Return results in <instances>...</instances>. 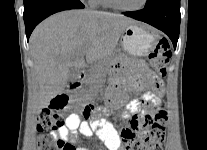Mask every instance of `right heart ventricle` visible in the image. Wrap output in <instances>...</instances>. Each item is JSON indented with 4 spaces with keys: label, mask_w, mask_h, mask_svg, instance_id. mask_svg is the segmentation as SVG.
Instances as JSON below:
<instances>
[{
    "label": "right heart ventricle",
    "mask_w": 207,
    "mask_h": 150,
    "mask_svg": "<svg viewBox=\"0 0 207 150\" xmlns=\"http://www.w3.org/2000/svg\"><path fill=\"white\" fill-rule=\"evenodd\" d=\"M91 4L95 7H103V8H110L112 5L110 4L109 0H93Z\"/></svg>",
    "instance_id": "right-heart-ventricle-1"
}]
</instances>
